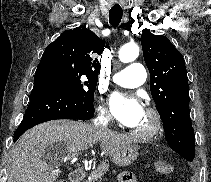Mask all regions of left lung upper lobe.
I'll return each mask as SVG.
<instances>
[{
    "mask_svg": "<svg viewBox=\"0 0 211 182\" xmlns=\"http://www.w3.org/2000/svg\"><path fill=\"white\" fill-rule=\"evenodd\" d=\"M141 45L150 72V90L172 150L189 161L195 155V135L189 114V89L182 54L163 35L143 30Z\"/></svg>",
    "mask_w": 211,
    "mask_h": 182,
    "instance_id": "1",
    "label": "left lung upper lobe"
}]
</instances>
